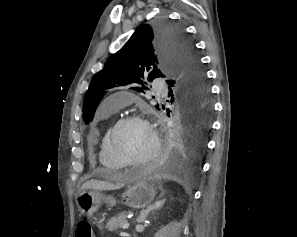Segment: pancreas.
<instances>
[{"label": "pancreas", "mask_w": 297, "mask_h": 237, "mask_svg": "<svg viewBox=\"0 0 297 237\" xmlns=\"http://www.w3.org/2000/svg\"><path fill=\"white\" fill-rule=\"evenodd\" d=\"M127 215H128V212H121L117 216L111 218L106 224L105 228L111 232L118 230L126 222Z\"/></svg>", "instance_id": "obj_1"}]
</instances>
